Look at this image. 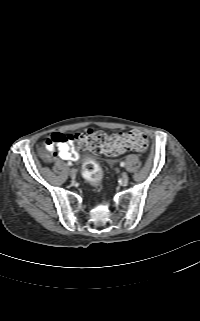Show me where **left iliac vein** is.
<instances>
[{"instance_id": "4c4485c4", "label": "left iliac vein", "mask_w": 200, "mask_h": 321, "mask_svg": "<svg viewBox=\"0 0 200 321\" xmlns=\"http://www.w3.org/2000/svg\"><path fill=\"white\" fill-rule=\"evenodd\" d=\"M128 179H129L128 174L126 172H123L122 173V181L124 183H126V182H128Z\"/></svg>"}]
</instances>
